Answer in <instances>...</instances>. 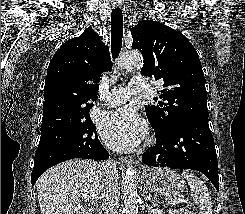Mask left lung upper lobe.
Returning <instances> with one entry per match:
<instances>
[{"mask_svg": "<svg viewBox=\"0 0 245 214\" xmlns=\"http://www.w3.org/2000/svg\"><path fill=\"white\" fill-rule=\"evenodd\" d=\"M131 34L132 48L144 57L142 75L164 82L157 104L145 108L155 133L167 135L190 119H208L204 73L187 38L152 20L140 22Z\"/></svg>", "mask_w": 245, "mask_h": 214, "instance_id": "5c2ea615", "label": "left lung upper lobe"}]
</instances>
